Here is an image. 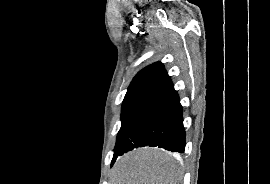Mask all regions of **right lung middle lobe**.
Wrapping results in <instances>:
<instances>
[{
	"label": "right lung middle lobe",
	"instance_id": "right-lung-middle-lobe-1",
	"mask_svg": "<svg viewBox=\"0 0 270 184\" xmlns=\"http://www.w3.org/2000/svg\"><path fill=\"white\" fill-rule=\"evenodd\" d=\"M149 97H133L125 99L122 104V113H121V128L117 135L116 146L114 149V156L112 159V164L115 162L116 158L119 155L121 146L141 109L148 101Z\"/></svg>",
	"mask_w": 270,
	"mask_h": 184
}]
</instances>
